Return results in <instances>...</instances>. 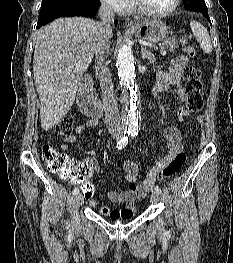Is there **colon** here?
I'll use <instances>...</instances> for the list:
<instances>
[{
    "label": "colon",
    "instance_id": "1",
    "mask_svg": "<svg viewBox=\"0 0 233 263\" xmlns=\"http://www.w3.org/2000/svg\"><path fill=\"white\" fill-rule=\"evenodd\" d=\"M182 44L187 55L196 56V49L189 45L185 38L182 39ZM185 73L187 78L185 88L187 96L186 114H191L200 111L203 107L201 72L195 67H189ZM72 130L73 118L71 116L61 118L55 125V131L59 135H70ZM42 158L52 173L60 175V180H70V183H83L76 185L79 195L93 194V186L88 180H91V176H94V171H89V169L88 171H75L76 162L69 159L65 154L58 152L49 144L43 146ZM185 158L184 153H179L168 164L155 170L151 179H163L174 175L183 166Z\"/></svg>",
    "mask_w": 233,
    "mask_h": 263
}]
</instances>
